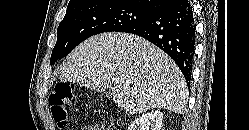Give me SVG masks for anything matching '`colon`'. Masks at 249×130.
I'll return each instance as SVG.
<instances>
[{
  "instance_id": "1",
  "label": "colon",
  "mask_w": 249,
  "mask_h": 130,
  "mask_svg": "<svg viewBox=\"0 0 249 130\" xmlns=\"http://www.w3.org/2000/svg\"><path fill=\"white\" fill-rule=\"evenodd\" d=\"M76 103L75 87L70 83H58L49 95V105L53 120L58 128L64 129L70 109Z\"/></svg>"
}]
</instances>
